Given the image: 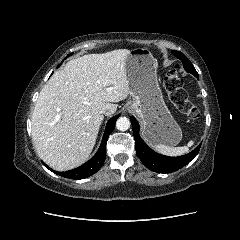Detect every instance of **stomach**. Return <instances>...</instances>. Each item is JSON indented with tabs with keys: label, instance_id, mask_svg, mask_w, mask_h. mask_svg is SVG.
<instances>
[{
	"label": "stomach",
	"instance_id": "0dacf381",
	"mask_svg": "<svg viewBox=\"0 0 240 240\" xmlns=\"http://www.w3.org/2000/svg\"><path fill=\"white\" fill-rule=\"evenodd\" d=\"M125 64L132 97L128 107L141 121L142 136L151 145H177L182 131L163 100L151 52L146 48L133 49Z\"/></svg>",
	"mask_w": 240,
	"mask_h": 240
}]
</instances>
